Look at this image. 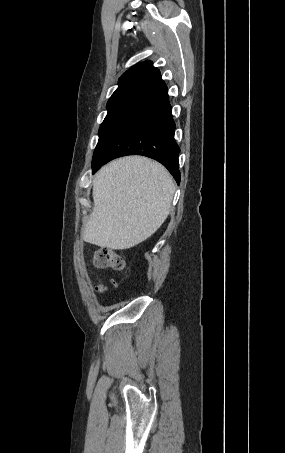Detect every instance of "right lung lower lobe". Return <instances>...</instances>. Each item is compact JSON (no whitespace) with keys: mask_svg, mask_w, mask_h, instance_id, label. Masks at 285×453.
I'll list each match as a JSON object with an SVG mask.
<instances>
[{"mask_svg":"<svg viewBox=\"0 0 285 453\" xmlns=\"http://www.w3.org/2000/svg\"><path fill=\"white\" fill-rule=\"evenodd\" d=\"M175 128L167 86L160 75L121 105L93 155L92 173L112 159L137 154L162 163L179 184Z\"/></svg>","mask_w":285,"mask_h":453,"instance_id":"obj_1","label":"right lung lower lobe"}]
</instances>
